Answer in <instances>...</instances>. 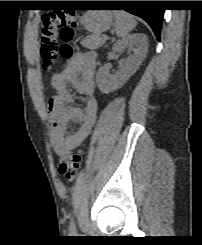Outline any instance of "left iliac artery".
<instances>
[{"label":"left iliac artery","instance_id":"left-iliac-artery-1","mask_svg":"<svg viewBox=\"0 0 202 245\" xmlns=\"http://www.w3.org/2000/svg\"><path fill=\"white\" fill-rule=\"evenodd\" d=\"M69 231L71 233H75L76 232V225L74 223L73 217H71V219H70Z\"/></svg>","mask_w":202,"mask_h":245}]
</instances>
